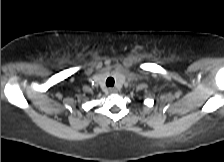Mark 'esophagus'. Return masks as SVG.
<instances>
[{
  "mask_svg": "<svg viewBox=\"0 0 224 162\" xmlns=\"http://www.w3.org/2000/svg\"><path fill=\"white\" fill-rule=\"evenodd\" d=\"M108 91H109L110 94H113V93L117 92V90L115 88H109Z\"/></svg>",
  "mask_w": 224,
  "mask_h": 162,
  "instance_id": "34e87169",
  "label": "esophagus"
}]
</instances>
